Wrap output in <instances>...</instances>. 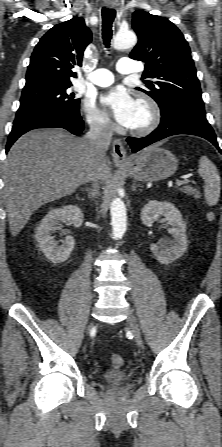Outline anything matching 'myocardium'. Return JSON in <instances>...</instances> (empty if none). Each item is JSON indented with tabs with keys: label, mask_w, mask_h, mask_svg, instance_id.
<instances>
[{
	"label": "myocardium",
	"mask_w": 222,
	"mask_h": 447,
	"mask_svg": "<svg viewBox=\"0 0 222 447\" xmlns=\"http://www.w3.org/2000/svg\"><path fill=\"white\" fill-rule=\"evenodd\" d=\"M136 103L146 110L147 118L143 124L130 127L129 132L136 136H144L157 128L161 121V111L157 103L146 95L140 96Z\"/></svg>",
	"instance_id": "1"
}]
</instances>
